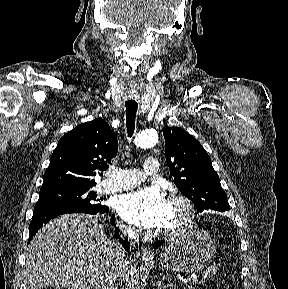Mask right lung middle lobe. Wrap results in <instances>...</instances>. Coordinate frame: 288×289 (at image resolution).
Wrapping results in <instances>:
<instances>
[{
  "instance_id": "1",
  "label": "right lung middle lobe",
  "mask_w": 288,
  "mask_h": 289,
  "mask_svg": "<svg viewBox=\"0 0 288 289\" xmlns=\"http://www.w3.org/2000/svg\"><path fill=\"white\" fill-rule=\"evenodd\" d=\"M92 187H52L40 190L39 200L35 210L47 208H65L83 212L97 211L105 206L97 203L96 194L90 191Z\"/></svg>"
}]
</instances>
